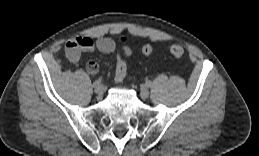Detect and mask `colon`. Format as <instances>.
<instances>
[{
  "instance_id": "colon-1",
  "label": "colon",
  "mask_w": 259,
  "mask_h": 156,
  "mask_svg": "<svg viewBox=\"0 0 259 156\" xmlns=\"http://www.w3.org/2000/svg\"><path fill=\"white\" fill-rule=\"evenodd\" d=\"M153 52V46L151 44H145L142 47V53L145 56L151 55ZM168 52L171 56L175 58H180L183 53V47L179 44H171L168 47ZM127 74V65L126 62L123 60V58L118 55L116 59V69H115V81L118 83H121Z\"/></svg>"
}]
</instances>
